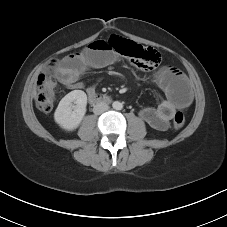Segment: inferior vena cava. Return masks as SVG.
Here are the masks:
<instances>
[{"label": "inferior vena cava", "mask_w": 227, "mask_h": 227, "mask_svg": "<svg viewBox=\"0 0 227 227\" xmlns=\"http://www.w3.org/2000/svg\"><path fill=\"white\" fill-rule=\"evenodd\" d=\"M109 106L106 103H98L94 106L93 112L97 115L102 114L103 112L107 111Z\"/></svg>", "instance_id": "602c4592"}]
</instances>
